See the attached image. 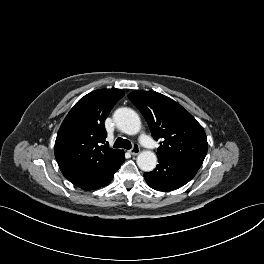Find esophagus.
<instances>
[{"label": "esophagus", "instance_id": "obj_1", "mask_svg": "<svg viewBox=\"0 0 264 264\" xmlns=\"http://www.w3.org/2000/svg\"><path fill=\"white\" fill-rule=\"evenodd\" d=\"M132 155H137L140 152V147L138 144H133V147L129 151Z\"/></svg>", "mask_w": 264, "mask_h": 264}]
</instances>
